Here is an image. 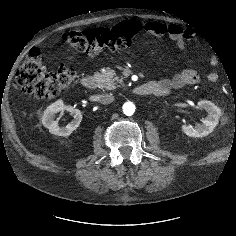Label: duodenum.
<instances>
[{
    "label": "duodenum",
    "mask_w": 236,
    "mask_h": 236,
    "mask_svg": "<svg viewBox=\"0 0 236 236\" xmlns=\"http://www.w3.org/2000/svg\"><path fill=\"white\" fill-rule=\"evenodd\" d=\"M82 85L86 89H94L96 87V80L91 75L84 76L82 78ZM133 93L137 95H150L154 93V87L150 83L137 85L133 88Z\"/></svg>",
    "instance_id": "duodenum-1"
}]
</instances>
